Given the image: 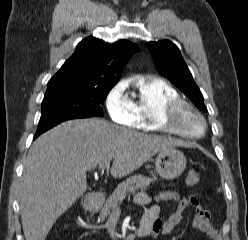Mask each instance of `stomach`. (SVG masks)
<instances>
[{"instance_id":"stomach-1","label":"stomach","mask_w":248,"mask_h":240,"mask_svg":"<svg viewBox=\"0 0 248 240\" xmlns=\"http://www.w3.org/2000/svg\"><path fill=\"white\" fill-rule=\"evenodd\" d=\"M186 167L184 154L172 148L169 151L160 152L155 159L156 172L164 179H175L181 175Z\"/></svg>"}]
</instances>
